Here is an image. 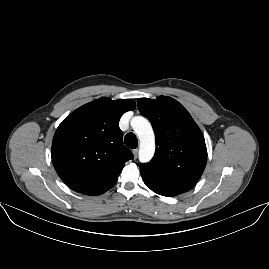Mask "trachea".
Returning <instances> with one entry per match:
<instances>
[{
    "instance_id": "3493384b",
    "label": "trachea",
    "mask_w": 269,
    "mask_h": 269,
    "mask_svg": "<svg viewBox=\"0 0 269 269\" xmlns=\"http://www.w3.org/2000/svg\"><path fill=\"white\" fill-rule=\"evenodd\" d=\"M124 142L126 144L127 147L131 148V149H135L138 146V140L137 137L134 133H128L125 136Z\"/></svg>"
}]
</instances>
